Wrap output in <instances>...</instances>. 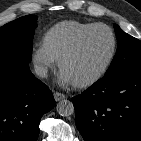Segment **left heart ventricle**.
<instances>
[{
	"mask_svg": "<svg viewBox=\"0 0 141 141\" xmlns=\"http://www.w3.org/2000/svg\"><path fill=\"white\" fill-rule=\"evenodd\" d=\"M112 47L111 36L105 29L89 33L78 50L68 58L62 68L72 82L93 76L106 62Z\"/></svg>",
	"mask_w": 141,
	"mask_h": 141,
	"instance_id": "b2bd125f",
	"label": "left heart ventricle"
}]
</instances>
